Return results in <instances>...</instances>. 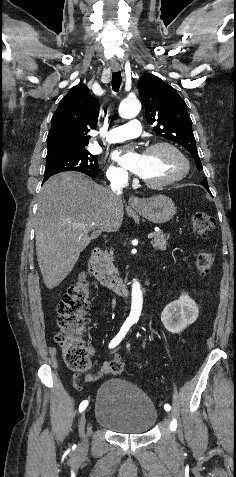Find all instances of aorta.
Segmentation results:
<instances>
[{"mask_svg": "<svg viewBox=\"0 0 236 477\" xmlns=\"http://www.w3.org/2000/svg\"><path fill=\"white\" fill-rule=\"evenodd\" d=\"M141 110V103L136 98H126L119 105V115L125 119H131L138 115ZM132 300L130 318L138 320L143 304V294L141 285L138 281H134L132 285Z\"/></svg>", "mask_w": 236, "mask_h": 477, "instance_id": "aorta-1", "label": "aorta"}]
</instances>
